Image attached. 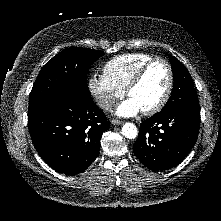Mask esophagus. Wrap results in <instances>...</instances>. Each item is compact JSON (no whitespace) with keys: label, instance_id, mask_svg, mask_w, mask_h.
<instances>
[{"label":"esophagus","instance_id":"esophagus-1","mask_svg":"<svg viewBox=\"0 0 221 221\" xmlns=\"http://www.w3.org/2000/svg\"><path fill=\"white\" fill-rule=\"evenodd\" d=\"M111 123H112L113 125H120V124H122V123H123V121L113 119V120L111 121Z\"/></svg>","mask_w":221,"mask_h":221}]
</instances>
